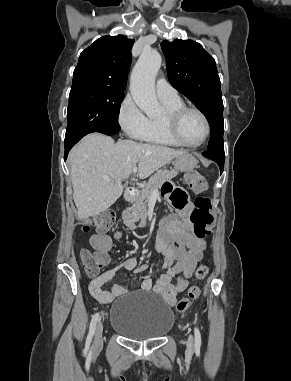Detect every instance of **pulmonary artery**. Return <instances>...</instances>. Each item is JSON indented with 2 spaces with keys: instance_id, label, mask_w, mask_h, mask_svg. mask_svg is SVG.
<instances>
[{
  "instance_id": "1",
  "label": "pulmonary artery",
  "mask_w": 291,
  "mask_h": 381,
  "mask_svg": "<svg viewBox=\"0 0 291 381\" xmlns=\"http://www.w3.org/2000/svg\"><path fill=\"white\" fill-rule=\"evenodd\" d=\"M156 93L160 99H176L179 97L177 90L164 78L157 79Z\"/></svg>"
}]
</instances>
